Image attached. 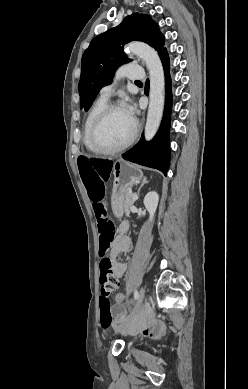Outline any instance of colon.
<instances>
[{
  "label": "colon",
  "mask_w": 248,
  "mask_h": 389,
  "mask_svg": "<svg viewBox=\"0 0 248 389\" xmlns=\"http://www.w3.org/2000/svg\"><path fill=\"white\" fill-rule=\"evenodd\" d=\"M77 163L81 170L82 181L97 216L99 255L102 257L100 262L101 295L99 316L100 326L103 329H107L113 323L112 307L109 297L119 286V281L113 271L112 262L106 257V253L115 237V227L111 219L107 216L104 199V183L109 181L112 162L110 157H78ZM125 300V291L115 292V297L113 298L114 304L120 306V301Z\"/></svg>",
  "instance_id": "1"
}]
</instances>
